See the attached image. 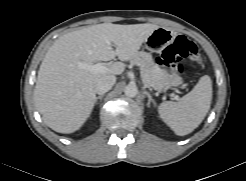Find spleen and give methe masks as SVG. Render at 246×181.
Returning <instances> with one entry per match:
<instances>
[{"instance_id": "spleen-1", "label": "spleen", "mask_w": 246, "mask_h": 181, "mask_svg": "<svg viewBox=\"0 0 246 181\" xmlns=\"http://www.w3.org/2000/svg\"><path fill=\"white\" fill-rule=\"evenodd\" d=\"M211 101L212 81L208 75H205L180 101L161 103L158 113L163 122L177 135L184 136L201 124L210 109Z\"/></svg>"}]
</instances>
